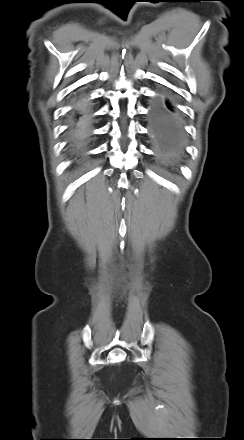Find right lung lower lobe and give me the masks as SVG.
<instances>
[{
    "label": "right lung lower lobe",
    "instance_id": "1",
    "mask_svg": "<svg viewBox=\"0 0 244 440\" xmlns=\"http://www.w3.org/2000/svg\"><path fill=\"white\" fill-rule=\"evenodd\" d=\"M90 118L80 106L73 110L72 122L68 128V140L73 146L84 144L89 138Z\"/></svg>",
    "mask_w": 244,
    "mask_h": 440
}]
</instances>
